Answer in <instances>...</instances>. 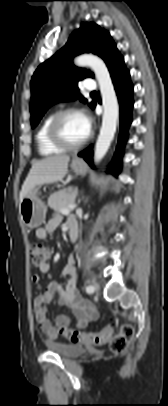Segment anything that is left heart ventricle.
Masks as SVG:
<instances>
[{
	"instance_id": "1",
	"label": "left heart ventricle",
	"mask_w": 168,
	"mask_h": 406,
	"mask_svg": "<svg viewBox=\"0 0 168 406\" xmlns=\"http://www.w3.org/2000/svg\"><path fill=\"white\" fill-rule=\"evenodd\" d=\"M60 131L63 138L71 143L79 142L88 135L78 113L67 115L60 124Z\"/></svg>"
}]
</instances>
